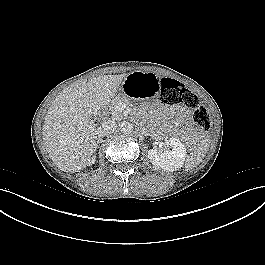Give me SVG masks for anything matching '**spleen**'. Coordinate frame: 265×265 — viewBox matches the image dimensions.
<instances>
[{
  "mask_svg": "<svg viewBox=\"0 0 265 265\" xmlns=\"http://www.w3.org/2000/svg\"><path fill=\"white\" fill-rule=\"evenodd\" d=\"M208 149H209V140L208 139L202 140L200 145L186 159L185 167L187 169H192L198 166L201 163L202 159L204 158L205 154L207 153Z\"/></svg>",
  "mask_w": 265,
  "mask_h": 265,
  "instance_id": "spleen-1",
  "label": "spleen"
}]
</instances>
